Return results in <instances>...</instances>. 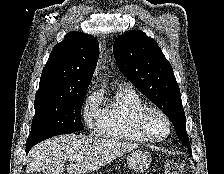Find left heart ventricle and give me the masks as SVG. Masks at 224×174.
Returning a JSON list of instances; mask_svg holds the SVG:
<instances>
[{
    "instance_id": "left-heart-ventricle-1",
    "label": "left heart ventricle",
    "mask_w": 224,
    "mask_h": 174,
    "mask_svg": "<svg viewBox=\"0 0 224 174\" xmlns=\"http://www.w3.org/2000/svg\"><path fill=\"white\" fill-rule=\"evenodd\" d=\"M147 130L154 136H163L167 131L165 120L157 113H150L146 118Z\"/></svg>"
}]
</instances>
